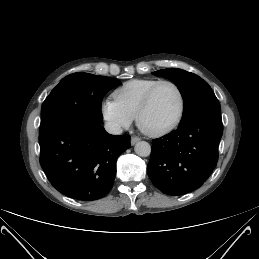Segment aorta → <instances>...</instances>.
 Returning <instances> with one entry per match:
<instances>
[{
  "instance_id": "1",
  "label": "aorta",
  "mask_w": 259,
  "mask_h": 259,
  "mask_svg": "<svg viewBox=\"0 0 259 259\" xmlns=\"http://www.w3.org/2000/svg\"><path fill=\"white\" fill-rule=\"evenodd\" d=\"M134 151L138 156L147 157L151 153V146L146 141H140L136 143Z\"/></svg>"
}]
</instances>
